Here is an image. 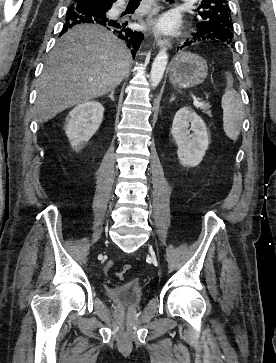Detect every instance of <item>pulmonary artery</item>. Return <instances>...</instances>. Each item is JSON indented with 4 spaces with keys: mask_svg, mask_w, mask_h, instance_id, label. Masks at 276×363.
Returning a JSON list of instances; mask_svg holds the SVG:
<instances>
[{
    "mask_svg": "<svg viewBox=\"0 0 276 363\" xmlns=\"http://www.w3.org/2000/svg\"><path fill=\"white\" fill-rule=\"evenodd\" d=\"M183 1H191V0H183Z\"/></svg>",
    "mask_w": 276,
    "mask_h": 363,
    "instance_id": "e3ab8cb5",
    "label": "pulmonary artery"
}]
</instances>
